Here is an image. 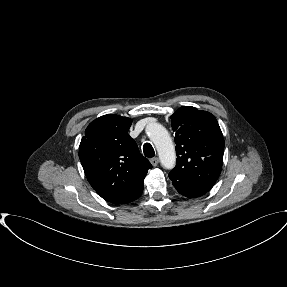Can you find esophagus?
I'll return each mask as SVG.
<instances>
[{
    "label": "esophagus",
    "mask_w": 287,
    "mask_h": 287,
    "mask_svg": "<svg viewBox=\"0 0 287 287\" xmlns=\"http://www.w3.org/2000/svg\"><path fill=\"white\" fill-rule=\"evenodd\" d=\"M150 162H151V164L155 167V166H157L158 163H159V158H157V157L151 158V159H150Z\"/></svg>",
    "instance_id": "obj_1"
}]
</instances>
